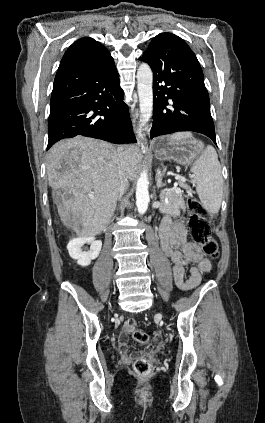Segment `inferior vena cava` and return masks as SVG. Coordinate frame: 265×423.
I'll list each match as a JSON object with an SVG mask.
<instances>
[{
    "instance_id": "obj_1",
    "label": "inferior vena cava",
    "mask_w": 265,
    "mask_h": 423,
    "mask_svg": "<svg viewBox=\"0 0 265 423\" xmlns=\"http://www.w3.org/2000/svg\"><path fill=\"white\" fill-rule=\"evenodd\" d=\"M128 185V175L125 162L121 161L119 164L118 180H117V198H120Z\"/></svg>"
}]
</instances>
